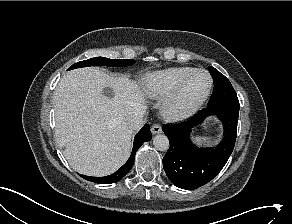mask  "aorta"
I'll list each match as a JSON object with an SVG mask.
<instances>
[{
  "label": "aorta",
  "instance_id": "obj_1",
  "mask_svg": "<svg viewBox=\"0 0 292 224\" xmlns=\"http://www.w3.org/2000/svg\"><path fill=\"white\" fill-rule=\"evenodd\" d=\"M153 144L159 151H167L170 146L168 137L163 134L156 135L153 139Z\"/></svg>",
  "mask_w": 292,
  "mask_h": 224
}]
</instances>
